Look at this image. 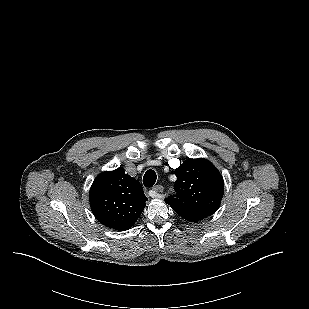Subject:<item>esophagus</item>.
I'll use <instances>...</instances> for the list:
<instances>
[{"label":"esophagus","instance_id":"1","mask_svg":"<svg viewBox=\"0 0 309 309\" xmlns=\"http://www.w3.org/2000/svg\"><path fill=\"white\" fill-rule=\"evenodd\" d=\"M164 190L162 185H156L153 187L152 192L154 193L153 197L161 198L160 193H162Z\"/></svg>","mask_w":309,"mask_h":309}]
</instances>
